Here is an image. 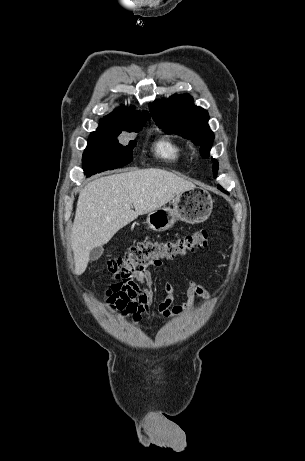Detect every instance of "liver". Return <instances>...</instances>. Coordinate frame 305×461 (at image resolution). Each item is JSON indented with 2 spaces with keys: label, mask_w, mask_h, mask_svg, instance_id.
Instances as JSON below:
<instances>
[{
  "label": "liver",
  "mask_w": 305,
  "mask_h": 461,
  "mask_svg": "<svg viewBox=\"0 0 305 461\" xmlns=\"http://www.w3.org/2000/svg\"><path fill=\"white\" fill-rule=\"evenodd\" d=\"M192 188V182L158 168L114 174L87 184L80 192L71 232L74 273H84L91 250L108 243L139 215L164 206Z\"/></svg>",
  "instance_id": "obj_1"
}]
</instances>
